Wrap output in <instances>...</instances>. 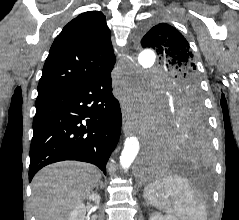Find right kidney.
I'll list each match as a JSON object with an SVG mask.
<instances>
[{
    "instance_id": "right-kidney-1",
    "label": "right kidney",
    "mask_w": 239,
    "mask_h": 220,
    "mask_svg": "<svg viewBox=\"0 0 239 220\" xmlns=\"http://www.w3.org/2000/svg\"><path fill=\"white\" fill-rule=\"evenodd\" d=\"M90 201L95 202L96 204L100 203V195L97 193H92L88 196ZM86 208L83 203L77 205L71 212L68 220H85Z\"/></svg>"
}]
</instances>
